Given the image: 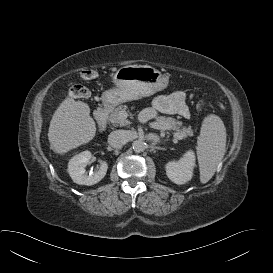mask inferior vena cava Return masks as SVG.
Instances as JSON below:
<instances>
[{"instance_id": "602c4592", "label": "inferior vena cava", "mask_w": 273, "mask_h": 273, "mask_svg": "<svg viewBox=\"0 0 273 273\" xmlns=\"http://www.w3.org/2000/svg\"><path fill=\"white\" fill-rule=\"evenodd\" d=\"M128 141L129 136L126 130H115L111 132L108 136V143L114 148L121 147L125 145Z\"/></svg>"}]
</instances>
